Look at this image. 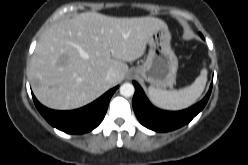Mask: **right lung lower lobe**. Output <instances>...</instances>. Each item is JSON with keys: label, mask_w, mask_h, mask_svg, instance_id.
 I'll return each instance as SVG.
<instances>
[{"label": "right lung lower lobe", "mask_w": 248, "mask_h": 165, "mask_svg": "<svg viewBox=\"0 0 248 165\" xmlns=\"http://www.w3.org/2000/svg\"><path fill=\"white\" fill-rule=\"evenodd\" d=\"M115 87L93 103L73 111H55L41 105L33 96L41 115L55 128L70 134H82L96 128L103 120Z\"/></svg>", "instance_id": "right-lung-lower-lobe-1"}]
</instances>
